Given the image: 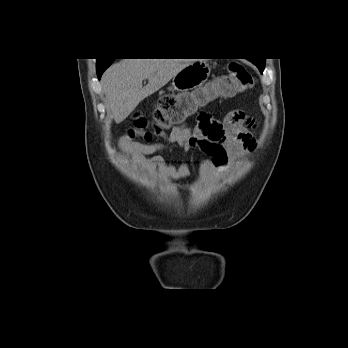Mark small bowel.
Listing matches in <instances>:
<instances>
[{
    "label": "small bowel",
    "instance_id": "1",
    "mask_svg": "<svg viewBox=\"0 0 348 348\" xmlns=\"http://www.w3.org/2000/svg\"><path fill=\"white\" fill-rule=\"evenodd\" d=\"M255 125L253 119L237 109L229 111L222 122L201 112L195 127H175L164 136V143L131 144L126 138L121 145L136 165L148 172L160 169L163 177L173 180L186 178L189 166L185 162L179 166L168 164L160 153L169 145H177L183 152L198 150L204 155L199 162V172L206 180L214 169L221 170L230 160L242 159L255 146L252 132Z\"/></svg>",
    "mask_w": 348,
    "mask_h": 348
}]
</instances>
